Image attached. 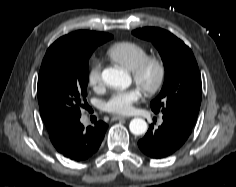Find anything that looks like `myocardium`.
Segmentation results:
<instances>
[{"label": "myocardium", "instance_id": "f54148a6", "mask_svg": "<svg viewBox=\"0 0 236 187\" xmlns=\"http://www.w3.org/2000/svg\"><path fill=\"white\" fill-rule=\"evenodd\" d=\"M151 68L155 70L156 78L153 83L146 84L145 75ZM130 72L134 83L146 96L157 94L164 86L167 76L165 62L158 56H146Z\"/></svg>", "mask_w": 236, "mask_h": 187}]
</instances>
